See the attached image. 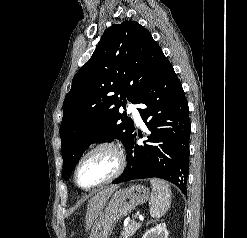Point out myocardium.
<instances>
[{"label": "myocardium", "instance_id": "1", "mask_svg": "<svg viewBox=\"0 0 247 238\" xmlns=\"http://www.w3.org/2000/svg\"><path fill=\"white\" fill-rule=\"evenodd\" d=\"M100 150H109L112 153H114V155L116 156V159H117V167H116L115 171L108 178L104 179L103 181H101L95 185H92V186L81 185L78 181V170H79L81 164L83 163V161L87 157H89L93 153L98 152ZM126 164H127L126 154L120 145H118L116 142L110 141V140L100 141V142L94 144L93 146H91L89 149H87L79 157V159L77 160V162L74 166L73 181H74L75 185L82 190H85V191L93 190V189L99 188L103 185H106V184L112 182L113 180H115L116 178H118L123 173V171L125 170Z\"/></svg>", "mask_w": 247, "mask_h": 238}]
</instances>
